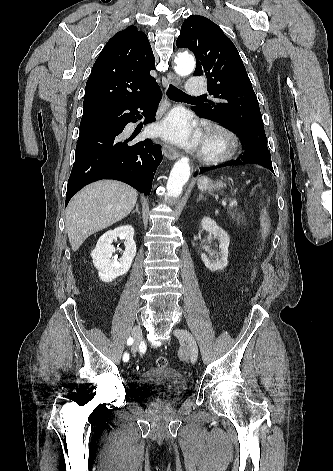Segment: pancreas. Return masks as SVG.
<instances>
[{
	"instance_id": "1",
	"label": "pancreas",
	"mask_w": 333,
	"mask_h": 471,
	"mask_svg": "<svg viewBox=\"0 0 333 471\" xmlns=\"http://www.w3.org/2000/svg\"><path fill=\"white\" fill-rule=\"evenodd\" d=\"M230 217L237 222V224H245L246 219L242 213L237 212V210L231 208L228 210Z\"/></svg>"
}]
</instances>
